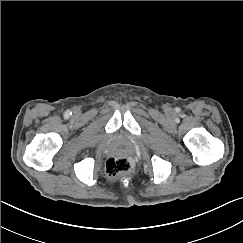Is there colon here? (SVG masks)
Returning a JSON list of instances; mask_svg holds the SVG:
<instances>
[{"label": "colon", "mask_w": 243, "mask_h": 243, "mask_svg": "<svg viewBox=\"0 0 243 243\" xmlns=\"http://www.w3.org/2000/svg\"><path fill=\"white\" fill-rule=\"evenodd\" d=\"M131 169V162L125 157H112L106 163V173L110 178L124 175Z\"/></svg>", "instance_id": "5ec220e1"}]
</instances>
